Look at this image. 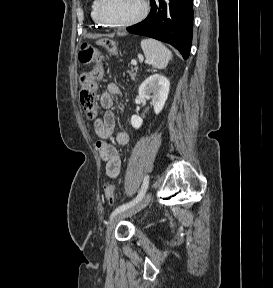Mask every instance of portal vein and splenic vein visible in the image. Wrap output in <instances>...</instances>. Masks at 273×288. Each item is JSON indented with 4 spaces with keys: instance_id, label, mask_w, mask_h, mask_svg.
I'll list each match as a JSON object with an SVG mask.
<instances>
[{
    "instance_id": "18ae733b",
    "label": "portal vein and splenic vein",
    "mask_w": 273,
    "mask_h": 288,
    "mask_svg": "<svg viewBox=\"0 0 273 288\" xmlns=\"http://www.w3.org/2000/svg\"><path fill=\"white\" fill-rule=\"evenodd\" d=\"M132 65H137V62L135 60L131 61Z\"/></svg>"
}]
</instances>
